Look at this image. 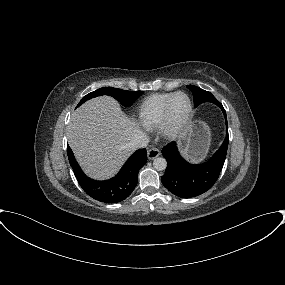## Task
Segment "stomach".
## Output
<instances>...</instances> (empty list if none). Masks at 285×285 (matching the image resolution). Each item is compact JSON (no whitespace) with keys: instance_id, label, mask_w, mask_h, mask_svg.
<instances>
[{"instance_id":"1","label":"stomach","mask_w":285,"mask_h":285,"mask_svg":"<svg viewBox=\"0 0 285 285\" xmlns=\"http://www.w3.org/2000/svg\"><path fill=\"white\" fill-rule=\"evenodd\" d=\"M210 146V129L203 121H194L187 128L181 140L184 155L193 162L201 161Z\"/></svg>"}]
</instances>
